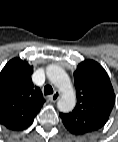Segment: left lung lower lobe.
<instances>
[{"label":"left lung lower lobe","instance_id":"1","mask_svg":"<svg viewBox=\"0 0 118 142\" xmlns=\"http://www.w3.org/2000/svg\"><path fill=\"white\" fill-rule=\"evenodd\" d=\"M65 127H66V129H67L68 131H70V132L73 133V134H80V133H78L74 128H71V127L66 126V125H65Z\"/></svg>","mask_w":118,"mask_h":142}]
</instances>
